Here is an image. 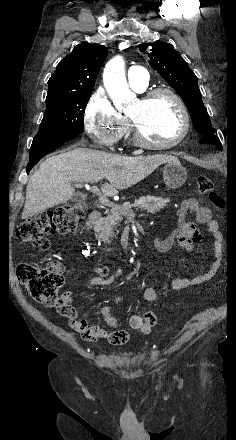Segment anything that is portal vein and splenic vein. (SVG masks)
<instances>
[{
    "mask_svg": "<svg viewBox=\"0 0 236 440\" xmlns=\"http://www.w3.org/2000/svg\"><path fill=\"white\" fill-rule=\"evenodd\" d=\"M78 185H79V186H83V184H78ZM84 186H85V187H88L87 184H84ZM90 190H91L93 193H95V194L99 197V201H100V203H101L102 205L107 206V207H110V208H112V209H115V208L117 207V205H115L114 203H112V202L106 197V195H103V194L100 192V190H99L96 186L91 187ZM131 212H133V211L131 210Z\"/></svg>",
    "mask_w": 236,
    "mask_h": 440,
    "instance_id": "1",
    "label": "portal vein and splenic vein"
}]
</instances>
